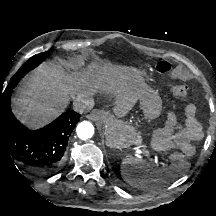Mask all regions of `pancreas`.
Segmentation results:
<instances>
[{
    "mask_svg": "<svg viewBox=\"0 0 216 216\" xmlns=\"http://www.w3.org/2000/svg\"><path fill=\"white\" fill-rule=\"evenodd\" d=\"M140 141H141V140L138 138V139H137V142H139V143H140Z\"/></svg>",
    "mask_w": 216,
    "mask_h": 216,
    "instance_id": "cf45deb5",
    "label": "pancreas"
}]
</instances>
